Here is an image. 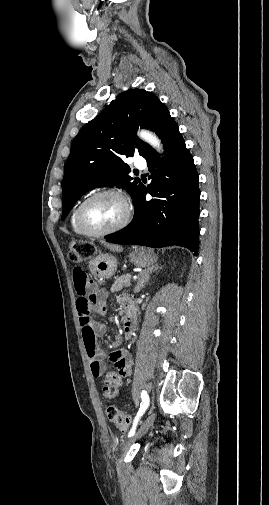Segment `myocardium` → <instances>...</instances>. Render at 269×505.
I'll use <instances>...</instances> for the list:
<instances>
[{"label": "myocardium", "mask_w": 269, "mask_h": 505, "mask_svg": "<svg viewBox=\"0 0 269 505\" xmlns=\"http://www.w3.org/2000/svg\"><path fill=\"white\" fill-rule=\"evenodd\" d=\"M103 196H114V197L119 198L124 204L125 214H124V217L122 218V220L119 223H117L116 225H114L113 227L105 229V230H95V229L89 227L85 223L84 217H83L84 211H85L86 207L92 201H94L97 198L103 197ZM131 217H132V206H131V203H130L128 197L124 193H122L121 191L110 188V189H104V190L97 191V192L93 193L92 195H90L89 197H87L78 207L77 214H76V221H77L79 228L86 235L91 236V237H102V236H107V235L116 233V232L122 230L123 228H125L129 224Z\"/></svg>", "instance_id": "1"}]
</instances>
